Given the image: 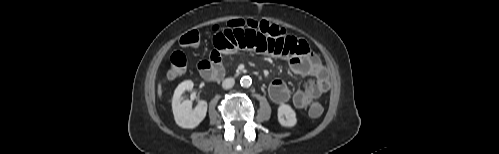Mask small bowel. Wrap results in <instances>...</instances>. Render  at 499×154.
Segmentation results:
<instances>
[{"instance_id":"c3829d8e","label":"small bowel","mask_w":499,"mask_h":154,"mask_svg":"<svg viewBox=\"0 0 499 154\" xmlns=\"http://www.w3.org/2000/svg\"><path fill=\"white\" fill-rule=\"evenodd\" d=\"M213 43L215 49L209 59L198 65L205 80H218L216 76L224 74L223 55L245 50L285 58L294 74L312 78L310 83L293 94L285 82L273 80L268 90L270 98L276 104H285L291 100L296 108L304 109L330 88L326 68L305 40L289 35L272 37L251 28H226L214 35Z\"/></svg>"}]
</instances>
